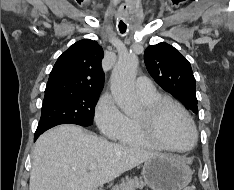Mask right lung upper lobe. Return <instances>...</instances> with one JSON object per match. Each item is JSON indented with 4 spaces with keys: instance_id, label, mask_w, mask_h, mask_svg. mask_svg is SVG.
Masks as SVG:
<instances>
[{
    "instance_id": "cb5924a9",
    "label": "right lung upper lobe",
    "mask_w": 234,
    "mask_h": 190,
    "mask_svg": "<svg viewBox=\"0 0 234 190\" xmlns=\"http://www.w3.org/2000/svg\"><path fill=\"white\" fill-rule=\"evenodd\" d=\"M102 58L103 49L96 41L74 43L56 61L46 88L100 93L104 83Z\"/></svg>"
}]
</instances>
